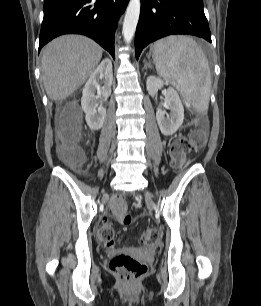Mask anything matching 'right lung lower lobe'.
I'll use <instances>...</instances> for the list:
<instances>
[{
  "label": "right lung lower lobe",
  "instance_id": "right-lung-lower-lobe-1",
  "mask_svg": "<svg viewBox=\"0 0 261 306\" xmlns=\"http://www.w3.org/2000/svg\"><path fill=\"white\" fill-rule=\"evenodd\" d=\"M129 0H45L39 50L68 33L94 39L115 58L114 35Z\"/></svg>",
  "mask_w": 261,
  "mask_h": 306
}]
</instances>
